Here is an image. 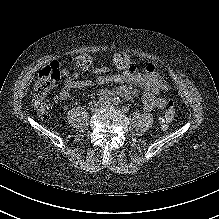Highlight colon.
<instances>
[{
  "mask_svg": "<svg viewBox=\"0 0 219 219\" xmlns=\"http://www.w3.org/2000/svg\"><path fill=\"white\" fill-rule=\"evenodd\" d=\"M60 78V65L57 61H54L44 67L39 72L32 86V94L35 108L37 109L38 113L44 118H48L52 114V107L47 100V96L49 92L58 84ZM174 117V102L172 100H168L167 111L165 112L161 120L162 128H167L174 120Z\"/></svg>",
  "mask_w": 219,
  "mask_h": 219,
  "instance_id": "colon-1",
  "label": "colon"
}]
</instances>
